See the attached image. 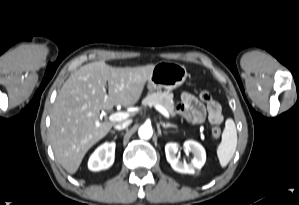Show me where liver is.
Masks as SVG:
<instances>
[{"instance_id": "6515ba94", "label": "liver", "mask_w": 299, "mask_h": 205, "mask_svg": "<svg viewBox=\"0 0 299 205\" xmlns=\"http://www.w3.org/2000/svg\"><path fill=\"white\" fill-rule=\"evenodd\" d=\"M154 66L120 68L96 61L65 81L54 104L49 136L57 161L68 173L78 170L87 151L112 128L113 123L99 120L100 111L136 104Z\"/></svg>"}]
</instances>
